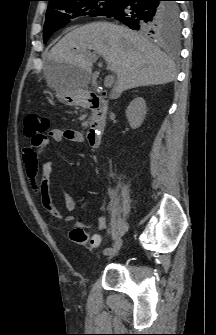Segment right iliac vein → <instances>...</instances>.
Wrapping results in <instances>:
<instances>
[{"instance_id":"1","label":"right iliac vein","mask_w":216,"mask_h":335,"mask_svg":"<svg viewBox=\"0 0 216 335\" xmlns=\"http://www.w3.org/2000/svg\"><path fill=\"white\" fill-rule=\"evenodd\" d=\"M122 246H123V239L122 238L117 239L116 242L113 244L111 251L107 254L108 259L115 257L119 253Z\"/></svg>"}]
</instances>
